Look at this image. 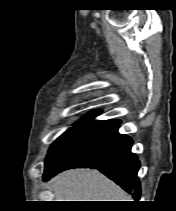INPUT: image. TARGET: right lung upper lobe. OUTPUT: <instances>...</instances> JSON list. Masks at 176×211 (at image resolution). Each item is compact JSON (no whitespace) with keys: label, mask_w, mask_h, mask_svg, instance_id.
Masks as SVG:
<instances>
[{"label":"right lung upper lobe","mask_w":176,"mask_h":211,"mask_svg":"<svg viewBox=\"0 0 176 211\" xmlns=\"http://www.w3.org/2000/svg\"><path fill=\"white\" fill-rule=\"evenodd\" d=\"M98 114H99V111H93V112L87 114L85 116V118H83V120L81 122L82 123H94L96 125H99V124H101L103 122H106V121H95V120H92Z\"/></svg>","instance_id":"obj_1"}]
</instances>
